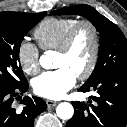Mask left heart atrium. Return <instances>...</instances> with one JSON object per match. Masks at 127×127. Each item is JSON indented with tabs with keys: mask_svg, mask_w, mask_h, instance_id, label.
<instances>
[{
	"mask_svg": "<svg viewBox=\"0 0 127 127\" xmlns=\"http://www.w3.org/2000/svg\"><path fill=\"white\" fill-rule=\"evenodd\" d=\"M76 83V75L68 68L61 67L44 72L36 77L32 86L34 92L44 98L60 99Z\"/></svg>",
	"mask_w": 127,
	"mask_h": 127,
	"instance_id": "39dd6f15",
	"label": "left heart atrium"
}]
</instances>
